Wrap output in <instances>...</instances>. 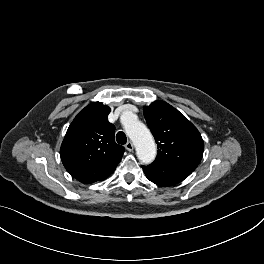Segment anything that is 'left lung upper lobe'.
Instances as JSON below:
<instances>
[{
    "label": "left lung upper lobe",
    "mask_w": 264,
    "mask_h": 264,
    "mask_svg": "<svg viewBox=\"0 0 264 264\" xmlns=\"http://www.w3.org/2000/svg\"><path fill=\"white\" fill-rule=\"evenodd\" d=\"M143 111L157 143L155 161L194 171L204 151V142L197 128L164 101H155L145 106Z\"/></svg>",
    "instance_id": "left-lung-upper-lobe-1"
}]
</instances>
